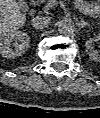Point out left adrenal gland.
<instances>
[{"label": "left adrenal gland", "mask_w": 100, "mask_h": 118, "mask_svg": "<svg viewBox=\"0 0 100 118\" xmlns=\"http://www.w3.org/2000/svg\"><path fill=\"white\" fill-rule=\"evenodd\" d=\"M90 24L88 22H85V21H81V22H78V27L79 29L85 27V26H89Z\"/></svg>", "instance_id": "left-adrenal-gland-1"}]
</instances>
